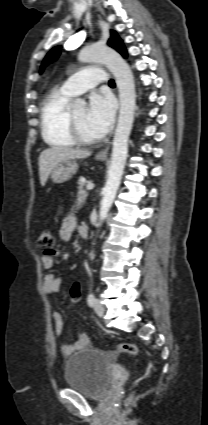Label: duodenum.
Masks as SVG:
<instances>
[{"mask_svg": "<svg viewBox=\"0 0 208 425\" xmlns=\"http://www.w3.org/2000/svg\"><path fill=\"white\" fill-rule=\"evenodd\" d=\"M79 234L83 239L88 238V234H89L88 227L86 225H81L79 227Z\"/></svg>", "mask_w": 208, "mask_h": 425, "instance_id": "1", "label": "duodenum"}]
</instances>
